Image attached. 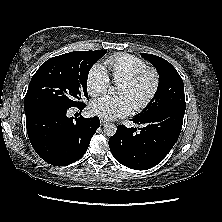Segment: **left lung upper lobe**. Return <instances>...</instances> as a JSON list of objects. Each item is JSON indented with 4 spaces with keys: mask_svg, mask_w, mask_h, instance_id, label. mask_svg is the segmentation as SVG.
<instances>
[{
    "mask_svg": "<svg viewBox=\"0 0 222 222\" xmlns=\"http://www.w3.org/2000/svg\"><path fill=\"white\" fill-rule=\"evenodd\" d=\"M150 61L159 73V85L151 106L140 116L160 109L178 106L186 108L183 80L176 69L165 59L152 54H141Z\"/></svg>",
    "mask_w": 222,
    "mask_h": 222,
    "instance_id": "1",
    "label": "left lung upper lobe"
}]
</instances>
